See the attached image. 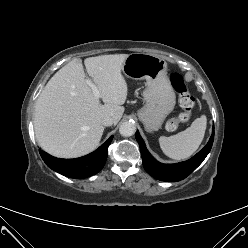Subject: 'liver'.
Returning a JSON list of instances; mask_svg holds the SVG:
<instances>
[{"label":"liver","instance_id":"6515ba94","mask_svg":"<svg viewBox=\"0 0 248 248\" xmlns=\"http://www.w3.org/2000/svg\"><path fill=\"white\" fill-rule=\"evenodd\" d=\"M128 54L86 58L84 64L100 90L102 105L86 83L82 60L75 58L46 84L35 105L34 130L40 147L59 158L92 152L104 132L101 121L111 116L117 124L128 94L121 73Z\"/></svg>","mask_w":248,"mask_h":248}]
</instances>
